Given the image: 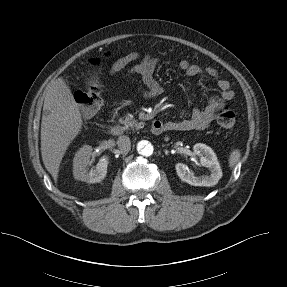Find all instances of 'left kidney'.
I'll return each mask as SVG.
<instances>
[{"label":"left kidney","instance_id":"obj_1","mask_svg":"<svg viewBox=\"0 0 287 287\" xmlns=\"http://www.w3.org/2000/svg\"><path fill=\"white\" fill-rule=\"evenodd\" d=\"M193 151L195 155L200 157L201 165L209 169L211 172L210 175L196 177L189 172L188 166L183 163H177L175 165L177 175L183 182L192 186H215L222 178V170L216 154L209 146L202 143L195 144Z\"/></svg>","mask_w":287,"mask_h":287}]
</instances>
